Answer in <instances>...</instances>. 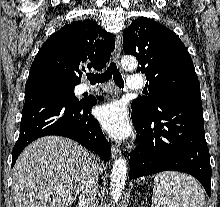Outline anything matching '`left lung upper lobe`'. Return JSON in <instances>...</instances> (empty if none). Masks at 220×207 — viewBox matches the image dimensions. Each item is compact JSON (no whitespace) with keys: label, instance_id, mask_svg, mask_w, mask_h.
Here are the masks:
<instances>
[{"label":"left lung upper lobe","instance_id":"5c2ea615","mask_svg":"<svg viewBox=\"0 0 220 207\" xmlns=\"http://www.w3.org/2000/svg\"><path fill=\"white\" fill-rule=\"evenodd\" d=\"M123 50L137 57V71L145 73L148 79V96L133 101V110L152 116L164 99L180 94H200L190 54L167 27L146 17L137 18L124 33Z\"/></svg>","mask_w":220,"mask_h":207}]
</instances>
